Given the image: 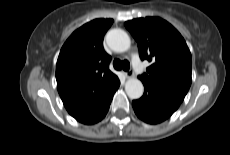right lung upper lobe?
Masks as SVG:
<instances>
[{
	"instance_id": "right-lung-upper-lobe-1",
	"label": "right lung upper lobe",
	"mask_w": 230,
	"mask_h": 155,
	"mask_svg": "<svg viewBox=\"0 0 230 155\" xmlns=\"http://www.w3.org/2000/svg\"><path fill=\"white\" fill-rule=\"evenodd\" d=\"M112 23V19L86 23L61 48L56 64L57 89L73 117L104 102L119 80L109 70L111 57L102 47Z\"/></svg>"
}]
</instances>
